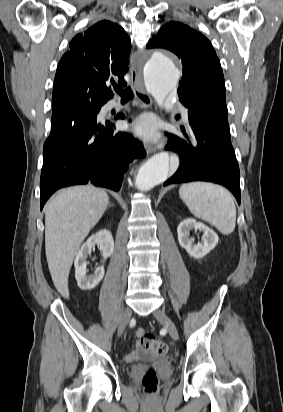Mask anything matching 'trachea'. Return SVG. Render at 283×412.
Returning a JSON list of instances; mask_svg holds the SVG:
<instances>
[{"mask_svg":"<svg viewBox=\"0 0 283 412\" xmlns=\"http://www.w3.org/2000/svg\"><path fill=\"white\" fill-rule=\"evenodd\" d=\"M115 91L121 96L122 102H128L129 100L134 98L133 91L130 87L126 89H122L121 87H115Z\"/></svg>","mask_w":283,"mask_h":412,"instance_id":"3493384b","label":"trachea"}]
</instances>
